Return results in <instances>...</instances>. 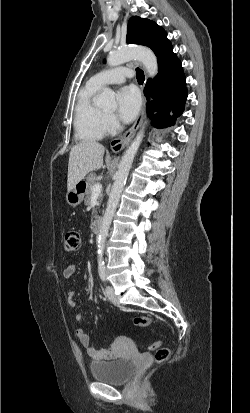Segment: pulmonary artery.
<instances>
[{
  "label": "pulmonary artery",
  "mask_w": 250,
  "mask_h": 413,
  "mask_svg": "<svg viewBox=\"0 0 250 413\" xmlns=\"http://www.w3.org/2000/svg\"><path fill=\"white\" fill-rule=\"evenodd\" d=\"M133 76V72L125 67H116L97 73L92 77V81L103 87L109 84L123 83L127 78Z\"/></svg>",
  "instance_id": "1"
}]
</instances>
